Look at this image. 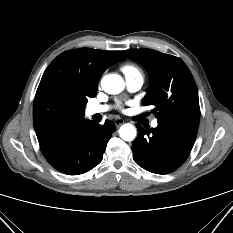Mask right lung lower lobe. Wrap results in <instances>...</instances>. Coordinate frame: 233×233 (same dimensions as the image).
Wrapping results in <instances>:
<instances>
[{
  "label": "right lung lower lobe",
  "mask_w": 233,
  "mask_h": 233,
  "mask_svg": "<svg viewBox=\"0 0 233 233\" xmlns=\"http://www.w3.org/2000/svg\"><path fill=\"white\" fill-rule=\"evenodd\" d=\"M115 130L114 123L109 120L103 125L85 120L61 136L41 143L40 149L46 160L61 173L83 174L102 161Z\"/></svg>",
  "instance_id": "right-lung-lower-lobe-1"
}]
</instances>
